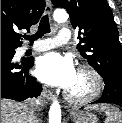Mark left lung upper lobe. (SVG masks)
<instances>
[{"label": "left lung upper lobe", "mask_w": 122, "mask_h": 123, "mask_svg": "<svg viewBox=\"0 0 122 123\" xmlns=\"http://www.w3.org/2000/svg\"><path fill=\"white\" fill-rule=\"evenodd\" d=\"M65 8L79 29L78 50L102 76L122 74V47L113 13L106 0H51ZM82 35V37H80Z\"/></svg>", "instance_id": "1"}]
</instances>
